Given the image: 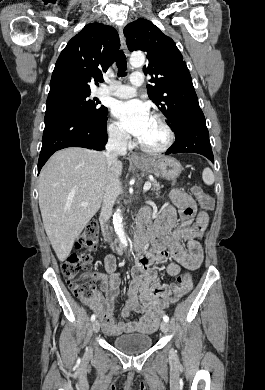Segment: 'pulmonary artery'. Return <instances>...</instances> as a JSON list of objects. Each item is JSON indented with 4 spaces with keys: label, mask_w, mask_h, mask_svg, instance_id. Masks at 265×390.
I'll return each mask as SVG.
<instances>
[{
    "label": "pulmonary artery",
    "mask_w": 265,
    "mask_h": 390,
    "mask_svg": "<svg viewBox=\"0 0 265 390\" xmlns=\"http://www.w3.org/2000/svg\"><path fill=\"white\" fill-rule=\"evenodd\" d=\"M143 74L140 72H134L131 75V85L115 84L103 86L98 90L100 96H114L117 98H129L132 97L136 92V87L143 84Z\"/></svg>",
    "instance_id": "e3ab8cb5"
}]
</instances>
